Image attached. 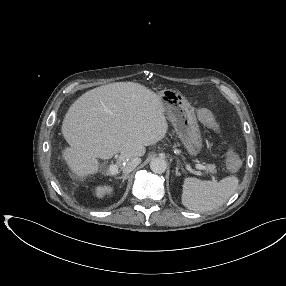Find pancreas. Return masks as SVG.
<instances>
[{
  "mask_svg": "<svg viewBox=\"0 0 286 286\" xmlns=\"http://www.w3.org/2000/svg\"><path fill=\"white\" fill-rule=\"evenodd\" d=\"M207 170L208 171H210V172H213L214 170H215V168H216V166L214 165V164H209L208 166H207Z\"/></svg>",
  "mask_w": 286,
  "mask_h": 286,
  "instance_id": "pancreas-1",
  "label": "pancreas"
}]
</instances>
